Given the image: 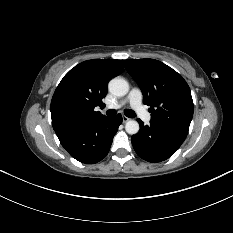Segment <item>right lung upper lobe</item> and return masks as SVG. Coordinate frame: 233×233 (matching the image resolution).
<instances>
[{"label":"right lung upper lobe","mask_w":233,"mask_h":233,"mask_svg":"<svg viewBox=\"0 0 233 233\" xmlns=\"http://www.w3.org/2000/svg\"><path fill=\"white\" fill-rule=\"evenodd\" d=\"M119 60H87L71 69L56 88L51 101L52 125L56 131L89 119L104 117L96 106L104 103L107 85L121 73Z\"/></svg>","instance_id":"cb5924a9"}]
</instances>
